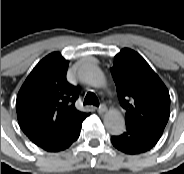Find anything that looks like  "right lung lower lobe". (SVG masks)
Instances as JSON below:
<instances>
[{"mask_svg": "<svg viewBox=\"0 0 184 174\" xmlns=\"http://www.w3.org/2000/svg\"><path fill=\"white\" fill-rule=\"evenodd\" d=\"M83 120H81L78 123H76L75 125H73L67 132H65L59 138H57L54 141H51L43 146H40V147H42L43 149H45L47 151H59V150H64V149L68 148L79 137Z\"/></svg>", "mask_w": 184, "mask_h": 174, "instance_id": "98d812e1", "label": "right lung lower lobe"}]
</instances>
